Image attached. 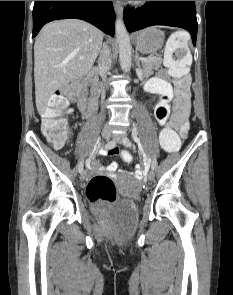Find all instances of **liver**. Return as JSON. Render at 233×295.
I'll use <instances>...</instances> for the list:
<instances>
[{"label": "liver", "mask_w": 233, "mask_h": 295, "mask_svg": "<svg viewBox=\"0 0 233 295\" xmlns=\"http://www.w3.org/2000/svg\"><path fill=\"white\" fill-rule=\"evenodd\" d=\"M102 40L98 28L77 19L53 21L41 29L34 44L35 100L40 115L59 88L91 70Z\"/></svg>", "instance_id": "1"}]
</instances>
